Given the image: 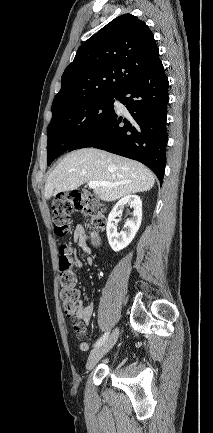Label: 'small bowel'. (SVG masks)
<instances>
[{"mask_svg":"<svg viewBox=\"0 0 213 433\" xmlns=\"http://www.w3.org/2000/svg\"><path fill=\"white\" fill-rule=\"evenodd\" d=\"M73 240L77 244V246L88 255L86 263L88 265H92L94 263L93 249H98L100 246L98 238L92 233L88 232L83 225H77L73 230ZM72 264L76 268L82 267V262L78 259L76 251H72ZM93 310L94 308L92 305H80L74 316L77 320L81 321L85 326H87L91 321ZM85 336L86 329L83 327V334L81 337ZM79 348L81 351H87L89 346L86 342H82L80 343Z\"/></svg>","mask_w":213,"mask_h":433,"instance_id":"1","label":"small bowel"}]
</instances>
